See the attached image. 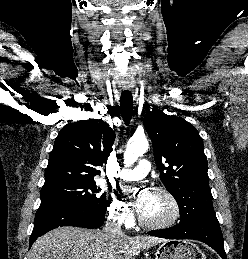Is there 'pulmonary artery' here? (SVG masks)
Listing matches in <instances>:
<instances>
[{
  "mask_svg": "<svg viewBox=\"0 0 248 259\" xmlns=\"http://www.w3.org/2000/svg\"><path fill=\"white\" fill-rule=\"evenodd\" d=\"M150 169V162L146 159H142L136 168L120 170L117 177L123 180H139L144 178L149 173Z\"/></svg>",
  "mask_w": 248,
  "mask_h": 259,
  "instance_id": "obj_1",
  "label": "pulmonary artery"
}]
</instances>
